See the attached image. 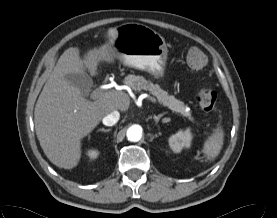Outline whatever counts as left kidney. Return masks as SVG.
Here are the masks:
<instances>
[{
    "label": "left kidney",
    "mask_w": 277,
    "mask_h": 218,
    "mask_svg": "<svg viewBox=\"0 0 277 218\" xmlns=\"http://www.w3.org/2000/svg\"><path fill=\"white\" fill-rule=\"evenodd\" d=\"M192 133L190 129L185 131H178L176 134L172 135L169 138V146L175 153H180L181 150L186 147L189 148L191 145Z\"/></svg>",
    "instance_id": "obj_1"
}]
</instances>
